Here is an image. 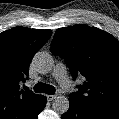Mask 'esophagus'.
I'll return each instance as SVG.
<instances>
[{"mask_svg":"<svg viewBox=\"0 0 119 119\" xmlns=\"http://www.w3.org/2000/svg\"><path fill=\"white\" fill-rule=\"evenodd\" d=\"M56 98V95H47L48 101H52Z\"/></svg>","mask_w":119,"mask_h":119,"instance_id":"34e87169","label":"esophagus"}]
</instances>
